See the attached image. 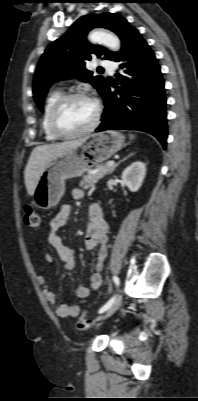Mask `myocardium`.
Instances as JSON below:
<instances>
[{
  "label": "myocardium",
  "instance_id": "myocardium-1",
  "mask_svg": "<svg viewBox=\"0 0 198 401\" xmlns=\"http://www.w3.org/2000/svg\"><path fill=\"white\" fill-rule=\"evenodd\" d=\"M79 98H83V99H88L91 100L94 105H95V117L93 122L90 124V126H88L87 128L83 129V130H79V131H75V132H69V131H65L63 130L59 124H58V116L60 111L62 110V108L71 100L74 99H79ZM101 114H102V107L100 102L93 96H91L90 94L86 93V92H72V93H68V94H64L62 95L52 106L50 114H49V127L51 129V131L59 138H76L79 136H83L86 135L92 131H94L99 123H100V119H101Z\"/></svg>",
  "mask_w": 198,
  "mask_h": 401
}]
</instances>
